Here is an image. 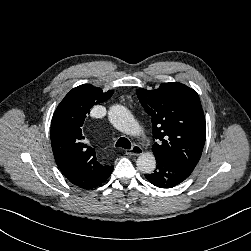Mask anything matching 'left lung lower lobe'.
<instances>
[{
	"label": "left lung lower lobe",
	"instance_id": "0a47b994",
	"mask_svg": "<svg viewBox=\"0 0 251 251\" xmlns=\"http://www.w3.org/2000/svg\"><path fill=\"white\" fill-rule=\"evenodd\" d=\"M156 158V169L152 174H146L145 177L155 186L160 188H172L183 182L193 170L184 165L164 159Z\"/></svg>",
	"mask_w": 251,
	"mask_h": 251
}]
</instances>
